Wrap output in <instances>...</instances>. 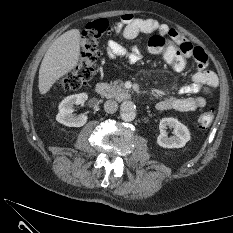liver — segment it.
Instances as JSON below:
<instances>
[{"label":"liver","instance_id":"liver-1","mask_svg":"<svg viewBox=\"0 0 233 233\" xmlns=\"http://www.w3.org/2000/svg\"><path fill=\"white\" fill-rule=\"evenodd\" d=\"M80 57V31L72 29L60 37L46 51L39 69V92L45 95L53 84L73 70Z\"/></svg>","mask_w":233,"mask_h":233}]
</instances>
